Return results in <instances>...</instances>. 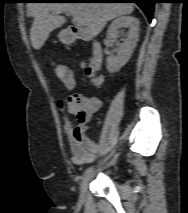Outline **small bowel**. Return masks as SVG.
Here are the masks:
<instances>
[{
	"mask_svg": "<svg viewBox=\"0 0 188 213\" xmlns=\"http://www.w3.org/2000/svg\"><path fill=\"white\" fill-rule=\"evenodd\" d=\"M59 107L76 114L79 123L74 127L68 119L64 120V128L71 143L72 162L76 165L92 163L100 146L87 136L86 129L91 115L102 107V100L95 95L73 93L61 101Z\"/></svg>",
	"mask_w": 188,
	"mask_h": 213,
	"instance_id": "1",
	"label": "small bowel"
}]
</instances>
